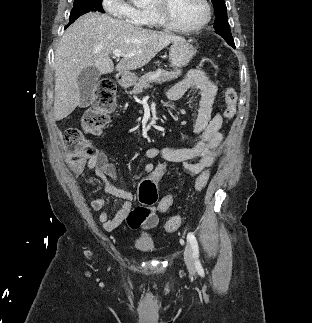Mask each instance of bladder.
Segmentation results:
<instances>
[{"label": "bladder", "mask_w": 312, "mask_h": 323, "mask_svg": "<svg viewBox=\"0 0 312 323\" xmlns=\"http://www.w3.org/2000/svg\"><path fill=\"white\" fill-rule=\"evenodd\" d=\"M154 245L152 235L137 236L135 246L139 249L150 250Z\"/></svg>", "instance_id": "bladder-1"}]
</instances>
